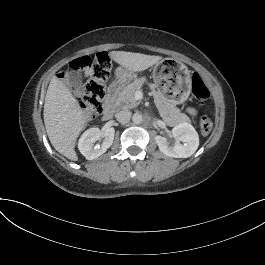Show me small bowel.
I'll use <instances>...</instances> for the list:
<instances>
[{
    "label": "small bowel",
    "instance_id": "c3829d8e",
    "mask_svg": "<svg viewBox=\"0 0 265 265\" xmlns=\"http://www.w3.org/2000/svg\"><path fill=\"white\" fill-rule=\"evenodd\" d=\"M89 75H90V72L88 70H86L84 73V77H88ZM188 111L191 115L197 114V111L194 108H189Z\"/></svg>",
    "mask_w": 265,
    "mask_h": 265
}]
</instances>
